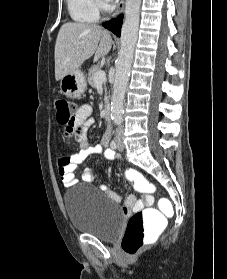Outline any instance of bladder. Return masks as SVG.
Masks as SVG:
<instances>
[{"label":"bladder","instance_id":"obj_1","mask_svg":"<svg viewBox=\"0 0 227 279\" xmlns=\"http://www.w3.org/2000/svg\"><path fill=\"white\" fill-rule=\"evenodd\" d=\"M63 205L71 225L101 240H114L123 228V216L119 204L98 191V197L87 192L85 186L68 191Z\"/></svg>","mask_w":227,"mask_h":279}]
</instances>
